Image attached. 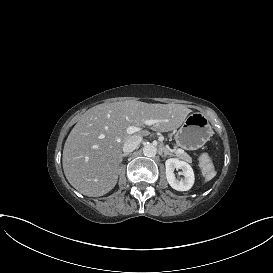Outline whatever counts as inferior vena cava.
Listing matches in <instances>:
<instances>
[{
  "label": "inferior vena cava",
  "mask_w": 273,
  "mask_h": 273,
  "mask_svg": "<svg viewBox=\"0 0 273 273\" xmlns=\"http://www.w3.org/2000/svg\"><path fill=\"white\" fill-rule=\"evenodd\" d=\"M142 137L141 136H132L129 138L123 145V152L130 153L134 151L137 146L141 143Z\"/></svg>",
  "instance_id": "inferior-vena-cava-1"
}]
</instances>
